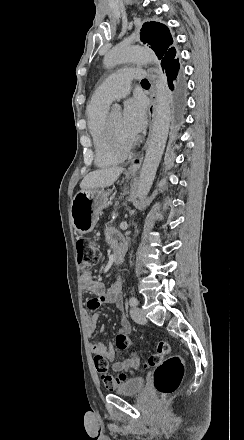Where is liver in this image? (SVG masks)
I'll list each match as a JSON object with an SVG mask.
<instances>
[{"label": "liver", "mask_w": 244, "mask_h": 440, "mask_svg": "<svg viewBox=\"0 0 244 440\" xmlns=\"http://www.w3.org/2000/svg\"><path fill=\"white\" fill-rule=\"evenodd\" d=\"M123 170L124 168H101V170L90 172L83 178L80 188L81 190H98V188L112 186Z\"/></svg>", "instance_id": "6515ba94"}]
</instances>
